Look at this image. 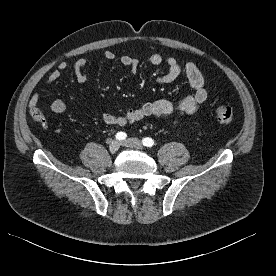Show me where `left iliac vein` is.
<instances>
[{
    "label": "left iliac vein",
    "instance_id": "left-iliac-vein-1",
    "mask_svg": "<svg viewBox=\"0 0 276 276\" xmlns=\"http://www.w3.org/2000/svg\"><path fill=\"white\" fill-rule=\"evenodd\" d=\"M122 145L130 148L138 149V150L143 148L142 142L136 138H129L123 141Z\"/></svg>",
    "mask_w": 276,
    "mask_h": 276
}]
</instances>
